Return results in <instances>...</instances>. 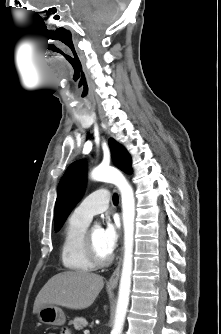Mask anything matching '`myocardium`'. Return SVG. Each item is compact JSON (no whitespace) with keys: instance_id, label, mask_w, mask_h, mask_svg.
Masks as SVG:
<instances>
[{"instance_id":"myocardium-1","label":"myocardium","mask_w":221,"mask_h":334,"mask_svg":"<svg viewBox=\"0 0 221 334\" xmlns=\"http://www.w3.org/2000/svg\"><path fill=\"white\" fill-rule=\"evenodd\" d=\"M90 232L91 229H86L84 234V249L88 258L95 265V267H104L109 265L113 260V254L110 253L107 256L100 255L95 247Z\"/></svg>"}]
</instances>
